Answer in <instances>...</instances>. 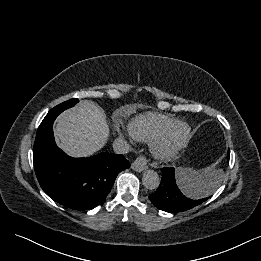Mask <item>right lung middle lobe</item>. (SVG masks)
Returning a JSON list of instances; mask_svg holds the SVG:
<instances>
[{"instance_id":"1","label":"right lung middle lobe","mask_w":261,"mask_h":261,"mask_svg":"<svg viewBox=\"0 0 261 261\" xmlns=\"http://www.w3.org/2000/svg\"><path fill=\"white\" fill-rule=\"evenodd\" d=\"M78 102H79V100L77 98L70 99L68 101H65V102L55 106L48 113H56V112L61 113L65 109H68V108L74 106Z\"/></svg>"}]
</instances>
